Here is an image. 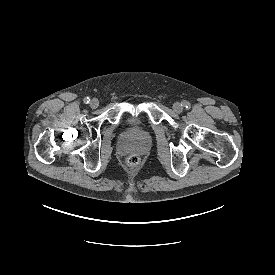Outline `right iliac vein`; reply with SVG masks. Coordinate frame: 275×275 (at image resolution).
I'll return each instance as SVG.
<instances>
[{
	"instance_id": "1",
	"label": "right iliac vein",
	"mask_w": 275,
	"mask_h": 275,
	"mask_svg": "<svg viewBox=\"0 0 275 275\" xmlns=\"http://www.w3.org/2000/svg\"><path fill=\"white\" fill-rule=\"evenodd\" d=\"M99 105V101L97 99H92L91 102H90V107L92 109H96Z\"/></svg>"
}]
</instances>
